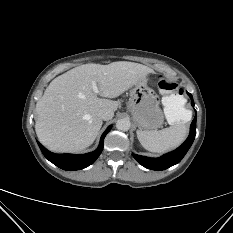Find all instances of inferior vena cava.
I'll use <instances>...</instances> for the list:
<instances>
[{
    "label": "inferior vena cava",
    "instance_id": "602c4592",
    "mask_svg": "<svg viewBox=\"0 0 233 233\" xmlns=\"http://www.w3.org/2000/svg\"><path fill=\"white\" fill-rule=\"evenodd\" d=\"M98 116L102 120H110L114 116V112L108 109H102L99 111Z\"/></svg>",
    "mask_w": 233,
    "mask_h": 233
}]
</instances>
